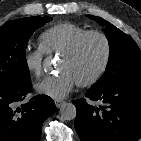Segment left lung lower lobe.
<instances>
[{
    "instance_id": "1",
    "label": "left lung lower lobe",
    "mask_w": 141,
    "mask_h": 141,
    "mask_svg": "<svg viewBox=\"0 0 141 141\" xmlns=\"http://www.w3.org/2000/svg\"><path fill=\"white\" fill-rule=\"evenodd\" d=\"M86 97L102 102L99 108L85 99L73 101L77 109L75 129L81 141H137L141 136V81L121 82Z\"/></svg>"
}]
</instances>
